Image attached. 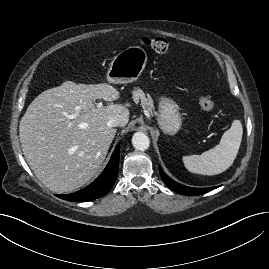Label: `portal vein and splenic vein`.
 Returning a JSON list of instances; mask_svg holds the SVG:
<instances>
[{
    "mask_svg": "<svg viewBox=\"0 0 269 269\" xmlns=\"http://www.w3.org/2000/svg\"><path fill=\"white\" fill-rule=\"evenodd\" d=\"M102 105L103 104L100 102V103L97 104V107H102Z\"/></svg>",
    "mask_w": 269,
    "mask_h": 269,
    "instance_id": "obj_1",
    "label": "portal vein and splenic vein"
}]
</instances>
